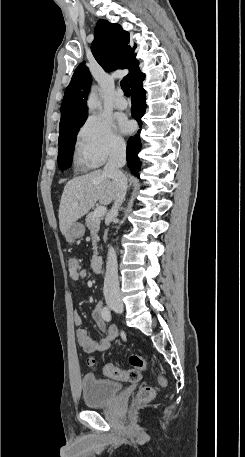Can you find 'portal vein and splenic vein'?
<instances>
[{
    "instance_id": "obj_1",
    "label": "portal vein and splenic vein",
    "mask_w": 245,
    "mask_h": 457,
    "mask_svg": "<svg viewBox=\"0 0 245 457\" xmlns=\"http://www.w3.org/2000/svg\"><path fill=\"white\" fill-rule=\"evenodd\" d=\"M107 208L106 206H104V204H102V206H97V208H95L94 212H93V216H103V214H105Z\"/></svg>"
}]
</instances>
